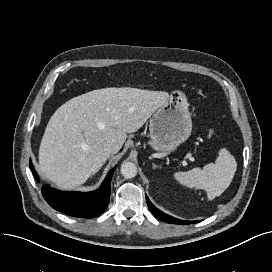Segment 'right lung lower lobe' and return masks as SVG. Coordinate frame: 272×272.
Listing matches in <instances>:
<instances>
[{"mask_svg": "<svg viewBox=\"0 0 272 272\" xmlns=\"http://www.w3.org/2000/svg\"><path fill=\"white\" fill-rule=\"evenodd\" d=\"M30 169L39 182V178L33 164ZM115 169L107 174L100 188L92 192H61L50 188L49 185L42 187V195L47 203L54 209L73 217L92 218L102 212L108 206L110 199V182Z\"/></svg>", "mask_w": 272, "mask_h": 272, "instance_id": "98d812e1", "label": "right lung lower lobe"}]
</instances>
